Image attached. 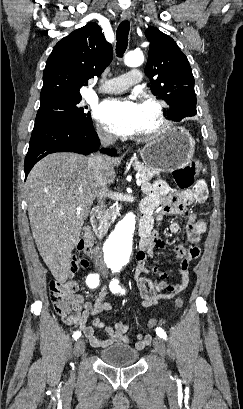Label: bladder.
<instances>
[{"label": "bladder", "instance_id": "31cf9c89", "mask_svg": "<svg viewBox=\"0 0 243 409\" xmlns=\"http://www.w3.org/2000/svg\"><path fill=\"white\" fill-rule=\"evenodd\" d=\"M99 358L108 366L123 368L137 363L139 352L130 345L113 344L103 348L99 353Z\"/></svg>", "mask_w": 243, "mask_h": 409}]
</instances>
